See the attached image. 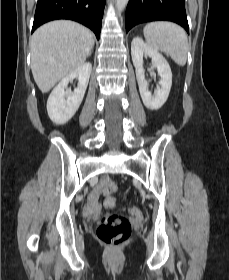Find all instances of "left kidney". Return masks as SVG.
Here are the masks:
<instances>
[{
  "instance_id": "left-kidney-1",
  "label": "left kidney",
  "mask_w": 229,
  "mask_h": 280,
  "mask_svg": "<svg viewBox=\"0 0 229 280\" xmlns=\"http://www.w3.org/2000/svg\"><path fill=\"white\" fill-rule=\"evenodd\" d=\"M131 56L135 67L139 91L144 105L151 110H158L166 102L172 86V72L167 60L158 51L150 48L144 41L135 37L131 43ZM149 56L152 64L157 68L161 77L158 88L154 95L148 89L143 68V57Z\"/></svg>"
}]
</instances>
